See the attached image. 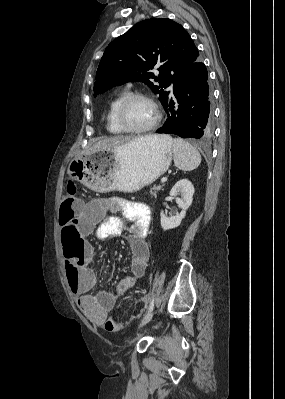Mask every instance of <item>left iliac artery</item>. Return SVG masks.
<instances>
[{
    "label": "left iliac artery",
    "instance_id": "1",
    "mask_svg": "<svg viewBox=\"0 0 285 399\" xmlns=\"http://www.w3.org/2000/svg\"><path fill=\"white\" fill-rule=\"evenodd\" d=\"M153 308H154V302L152 301L150 303L149 307H148V312L147 313L151 312L153 310Z\"/></svg>",
    "mask_w": 285,
    "mask_h": 399
}]
</instances>
